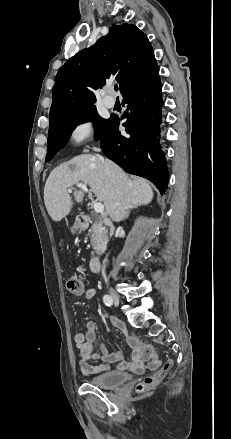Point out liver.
I'll return each mask as SVG.
<instances>
[{"label": "liver", "instance_id": "obj_1", "mask_svg": "<svg viewBox=\"0 0 231 439\" xmlns=\"http://www.w3.org/2000/svg\"><path fill=\"white\" fill-rule=\"evenodd\" d=\"M107 169L111 179L106 174ZM77 183L89 185L97 200L103 202L106 213L116 222L128 216L129 208L148 204L153 198L147 180H131L112 161L102 162L98 156L82 154L53 169L46 181L44 203L55 222L70 213L73 202L68 189ZM73 196L75 201L81 202L84 192L75 189Z\"/></svg>", "mask_w": 231, "mask_h": 439}]
</instances>
